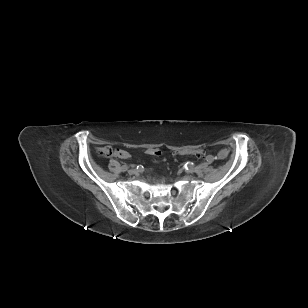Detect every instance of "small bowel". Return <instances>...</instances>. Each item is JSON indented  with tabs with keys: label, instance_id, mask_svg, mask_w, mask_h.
Returning <instances> with one entry per match:
<instances>
[{
	"label": "small bowel",
	"instance_id": "c3829d8e",
	"mask_svg": "<svg viewBox=\"0 0 308 308\" xmlns=\"http://www.w3.org/2000/svg\"><path fill=\"white\" fill-rule=\"evenodd\" d=\"M227 155H228V151H227L226 149H222V150H220L219 153H218V157H219L220 159L226 158Z\"/></svg>",
	"mask_w": 308,
	"mask_h": 308
}]
</instances>
